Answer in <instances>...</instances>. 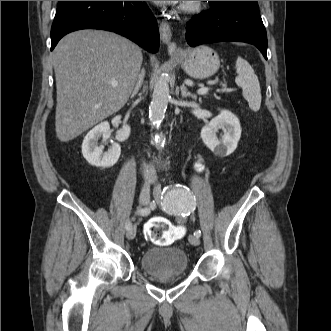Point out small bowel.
<instances>
[{"label": "small bowel", "instance_id": "obj_1", "mask_svg": "<svg viewBox=\"0 0 331 331\" xmlns=\"http://www.w3.org/2000/svg\"><path fill=\"white\" fill-rule=\"evenodd\" d=\"M195 167H196L197 170H202L203 169V166H202L201 163H196Z\"/></svg>", "mask_w": 331, "mask_h": 331}]
</instances>
